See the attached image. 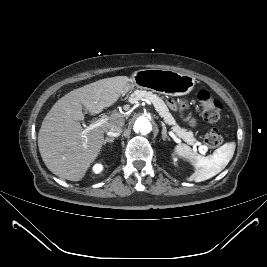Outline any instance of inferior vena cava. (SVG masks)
<instances>
[{
    "mask_svg": "<svg viewBox=\"0 0 267 267\" xmlns=\"http://www.w3.org/2000/svg\"><path fill=\"white\" fill-rule=\"evenodd\" d=\"M122 133V126L113 125L107 131V135L110 137H118Z\"/></svg>",
    "mask_w": 267,
    "mask_h": 267,
    "instance_id": "1",
    "label": "inferior vena cava"
}]
</instances>
